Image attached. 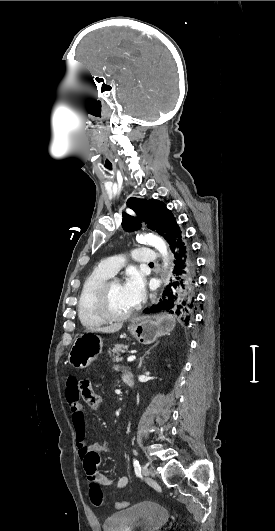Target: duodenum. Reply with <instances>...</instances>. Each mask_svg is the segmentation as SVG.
<instances>
[{
    "instance_id": "obj_1",
    "label": "duodenum",
    "mask_w": 275,
    "mask_h": 531,
    "mask_svg": "<svg viewBox=\"0 0 275 531\" xmlns=\"http://www.w3.org/2000/svg\"><path fill=\"white\" fill-rule=\"evenodd\" d=\"M123 379H124L125 383L127 384V386H128L129 388H132V387H133V385H134V378H133V374H132L131 372H129V371H128V372H125V373L123 374Z\"/></svg>"
}]
</instances>
